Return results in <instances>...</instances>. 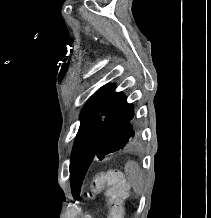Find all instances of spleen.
Masks as SVG:
<instances>
[{
	"label": "spleen",
	"mask_w": 211,
	"mask_h": 218,
	"mask_svg": "<svg viewBox=\"0 0 211 218\" xmlns=\"http://www.w3.org/2000/svg\"><path fill=\"white\" fill-rule=\"evenodd\" d=\"M125 172L127 180H129L133 188V192H136V194H142L144 182L143 172H141L139 164H137V162H127Z\"/></svg>",
	"instance_id": "spleen-1"
}]
</instances>
